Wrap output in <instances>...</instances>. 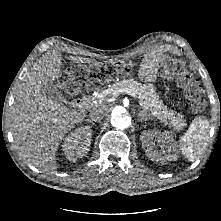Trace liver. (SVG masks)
Instances as JSON below:
<instances>
[{"label":"liver","mask_w":221,"mask_h":221,"mask_svg":"<svg viewBox=\"0 0 221 221\" xmlns=\"http://www.w3.org/2000/svg\"><path fill=\"white\" fill-rule=\"evenodd\" d=\"M70 60L75 63L91 62L89 58L75 56H70ZM61 66L60 52L50 51L42 55L20 84L9 118L19 155L45 172L57 169L56 154L60 142L84 120L87 113L68 108L47 95L45 86L58 79ZM96 105L107 109L105 105Z\"/></svg>","instance_id":"1"}]
</instances>
